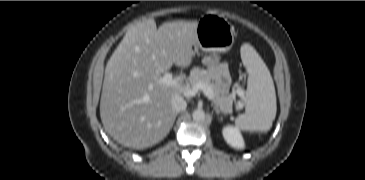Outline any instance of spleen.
<instances>
[{
	"label": "spleen",
	"instance_id": "1",
	"mask_svg": "<svg viewBox=\"0 0 365 180\" xmlns=\"http://www.w3.org/2000/svg\"><path fill=\"white\" fill-rule=\"evenodd\" d=\"M241 58L248 71V80L245 113L236 118L235 127L242 131L267 132L277 111L273 79L266 64L251 46L241 49Z\"/></svg>",
	"mask_w": 365,
	"mask_h": 180
}]
</instances>
